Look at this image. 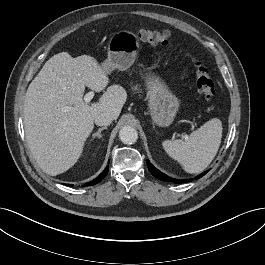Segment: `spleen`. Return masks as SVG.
Instances as JSON below:
<instances>
[{"label":"spleen","instance_id":"spleen-1","mask_svg":"<svg viewBox=\"0 0 265 265\" xmlns=\"http://www.w3.org/2000/svg\"><path fill=\"white\" fill-rule=\"evenodd\" d=\"M222 138V124L211 119L193 131L188 140H165L166 153L177 160L187 173H200L208 167L217 154Z\"/></svg>","mask_w":265,"mask_h":265}]
</instances>
